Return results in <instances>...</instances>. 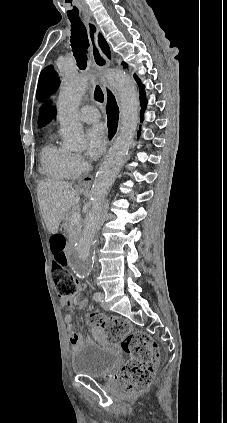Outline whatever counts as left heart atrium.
Listing matches in <instances>:
<instances>
[{"instance_id": "left-heart-atrium-1", "label": "left heart atrium", "mask_w": 227, "mask_h": 423, "mask_svg": "<svg viewBox=\"0 0 227 423\" xmlns=\"http://www.w3.org/2000/svg\"><path fill=\"white\" fill-rule=\"evenodd\" d=\"M87 141L89 145V155L92 158L99 157L106 149L108 144V132L104 126H94L87 132Z\"/></svg>"}]
</instances>
